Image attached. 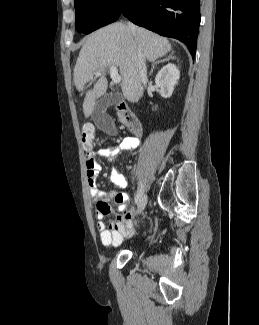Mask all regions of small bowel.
I'll use <instances>...</instances> for the list:
<instances>
[{
	"label": "small bowel",
	"instance_id": "1",
	"mask_svg": "<svg viewBox=\"0 0 259 325\" xmlns=\"http://www.w3.org/2000/svg\"><path fill=\"white\" fill-rule=\"evenodd\" d=\"M139 146L137 137H125L118 146H108L97 151L89 150L86 158V172L88 189L90 196L96 201L97 224L100 242L103 246H118L122 241L134 233L135 224L133 222L134 211L129 207L128 196L120 191L127 186L125 176L113 166L116 157L121 151L132 152ZM96 156L105 157L110 165L109 179L115 189L102 191L97 184V177L101 171V165L96 160ZM118 205L119 215L116 220L109 223V227L103 223L102 219L110 212L111 203Z\"/></svg>",
	"mask_w": 259,
	"mask_h": 325
}]
</instances>
